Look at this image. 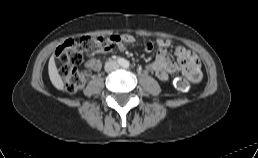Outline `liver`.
<instances>
[{"label": "liver", "mask_w": 258, "mask_h": 158, "mask_svg": "<svg viewBox=\"0 0 258 158\" xmlns=\"http://www.w3.org/2000/svg\"><path fill=\"white\" fill-rule=\"evenodd\" d=\"M48 73H49V78L51 83L54 85L55 88L58 90H63L64 89V83L62 81V78L60 77L56 64H55V58L54 54L49 59L48 63Z\"/></svg>", "instance_id": "1"}]
</instances>
